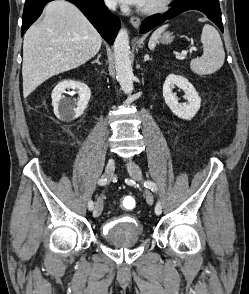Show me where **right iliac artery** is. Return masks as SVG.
<instances>
[{"instance_id": "obj_1", "label": "right iliac artery", "mask_w": 249, "mask_h": 294, "mask_svg": "<svg viewBox=\"0 0 249 294\" xmlns=\"http://www.w3.org/2000/svg\"><path fill=\"white\" fill-rule=\"evenodd\" d=\"M106 183H107V179L103 178V177L101 179H99V181H98V184L101 186L105 185ZM93 208H94V203H93V201L90 200L88 202V209L93 210Z\"/></svg>"}]
</instances>
